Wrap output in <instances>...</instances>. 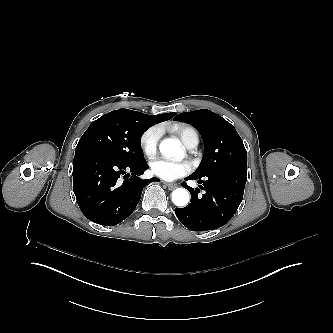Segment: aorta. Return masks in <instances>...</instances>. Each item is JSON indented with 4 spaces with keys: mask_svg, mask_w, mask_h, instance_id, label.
Here are the masks:
<instances>
[{
    "mask_svg": "<svg viewBox=\"0 0 333 333\" xmlns=\"http://www.w3.org/2000/svg\"><path fill=\"white\" fill-rule=\"evenodd\" d=\"M160 153L167 157H180L183 153L178 139L166 138L159 143ZM172 201L177 206H185L189 202V192L185 188H176L172 192Z\"/></svg>",
    "mask_w": 333,
    "mask_h": 333,
    "instance_id": "aorta-1",
    "label": "aorta"
}]
</instances>
